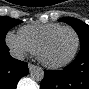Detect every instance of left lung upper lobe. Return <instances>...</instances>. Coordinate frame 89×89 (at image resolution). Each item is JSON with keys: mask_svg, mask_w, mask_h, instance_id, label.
<instances>
[{"mask_svg": "<svg viewBox=\"0 0 89 89\" xmlns=\"http://www.w3.org/2000/svg\"><path fill=\"white\" fill-rule=\"evenodd\" d=\"M60 21H64L73 27L80 38L81 47L89 46V25L72 17H65Z\"/></svg>", "mask_w": 89, "mask_h": 89, "instance_id": "5c2ea615", "label": "left lung upper lobe"}]
</instances>
